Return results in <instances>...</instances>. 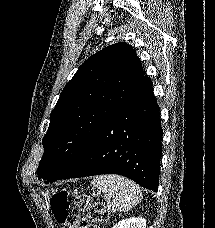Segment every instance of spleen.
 Segmentation results:
<instances>
[{
    "label": "spleen",
    "mask_w": 215,
    "mask_h": 228,
    "mask_svg": "<svg viewBox=\"0 0 215 228\" xmlns=\"http://www.w3.org/2000/svg\"><path fill=\"white\" fill-rule=\"evenodd\" d=\"M92 184L94 188L101 190L107 198H113L112 202L119 212L132 210L142 200L139 186L123 176H116V174L93 176Z\"/></svg>",
    "instance_id": "spleen-1"
}]
</instances>
